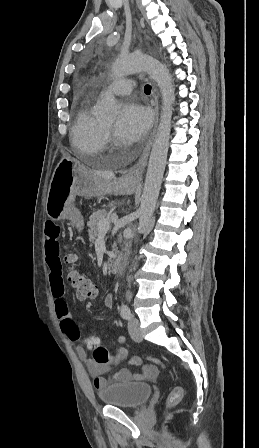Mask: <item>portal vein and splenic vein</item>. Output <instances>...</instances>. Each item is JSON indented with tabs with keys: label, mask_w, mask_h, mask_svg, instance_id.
Segmentation results:
<instances>
[{
	"label": "portal vein and splenic vein",
	"mask_w": 259,
	"mask_h": 448,
	"mask_svg": "<svg viewBox=\"0 0 259 448\" xmlns=\"http://www.w3.org/2000/svg\"><path fill=\"white\" fill-rule=\"evenodd\" d=\"M114 218L115 220H118L117 214H115ZM109 228H110V220H106V218L100 220L98 224L99 234H104V232H108Z\"/></svg>",
	"instance_id": "portal-vein-and-splenic-vein-1"
}]
</instances>
